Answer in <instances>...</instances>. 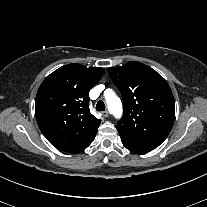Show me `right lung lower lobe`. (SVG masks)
Instances as JSON below:
<instances>
[{"label": "right lung lower lobe", "instance_id": "98d812e1", "mask_svg": "<svg viewBox=\"0 0 207 207\" xmlns=\"http://www.w3.org/2000/svg\"><path fill=\"white\" fill-rule=\"evenodd\" d=\"M96 135V134H95ZM94 136H92L91 138H89L88 140H86L83 144H81L77 149L73 150L72 152L70 153H76V152H80L82 150H84L85 148H87L91 143L92 141L94 140Z\"/></svg>", "mask_w": 207, "mask_h": 207}]
</instances>
